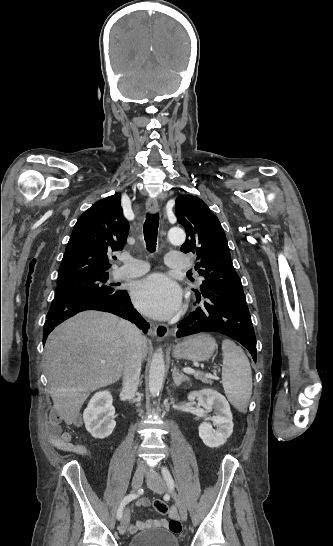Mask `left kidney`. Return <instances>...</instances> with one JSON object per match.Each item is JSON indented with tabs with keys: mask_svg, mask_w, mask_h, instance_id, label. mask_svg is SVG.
<instances>
[{
	"mask_svg": "<svg viewBox=\"0 0 333 546\" xmlns=\"http://www.w3.org/2000/svg\"><path fill=\"white\" fill-rule=\"evenodd\" d=\"M188 399L190 401L197 399L206 412L213 410L215 413L214 416L207 417V419L213 422L216 429H213L209 422H202L198 428L203 443L210 448H216L226 443L233 432V417L226 398L214 389H203L191 392Z\"/></svg>",
	"mask_w": 333,
	"mask_h": 546,
	"instance_id": "1",
	"label": "left kidney"
}]
</instances>
